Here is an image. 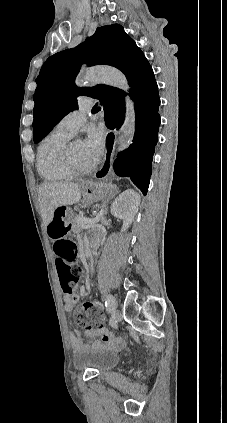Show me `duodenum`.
<instances>
[{"label": "duodenum", "instance_id": "410a0bca", "mask_svg": "<svg viewBox=\"0 0 227 423\" xmlns=\"http://www.w3.org/2000/svg\"><path fill=\"white\" fill-rule=\"evenodd\" d=\"M98 247L94 246L90 251H89V255L90 256H94L97 253Z\"/></svg>", "mask_w": 227, "mask_h": 423}]
</instances>
